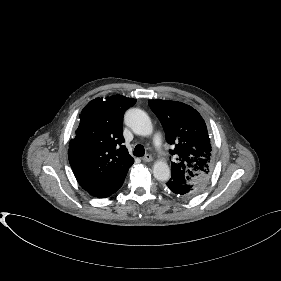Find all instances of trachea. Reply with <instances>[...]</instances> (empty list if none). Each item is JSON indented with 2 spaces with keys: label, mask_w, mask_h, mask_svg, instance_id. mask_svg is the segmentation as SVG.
<instances>
[{
  "label": "trachea",
  "mask_w": 281,
  "mask_h": 281,
  "mask_svg": "<svg viewBox=\"0 0 281 281\" xmlns=\"http://www.w3.org/2000/svg\"><path fill=\"white\" fill-rule=\"evenodd\" d=\"M144 154H145V149L142 145H137L134 148V156L142 157V156H144Z\"/></svg>",
  "instance_id": "obj_1"
}]
</instances>
